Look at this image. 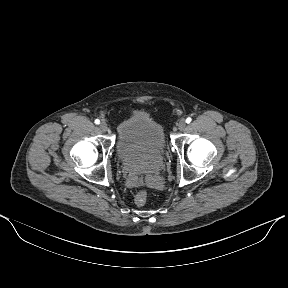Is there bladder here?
Instances as JSON below:
<instances>
[{
    "label": "bladder",
    "instance_id": "31cf9c89",
    "mask_svg": "<svg viewBox=\"0 0 288 288\" xmlns=\"http://www.w3.org/2000/svg\"><path fill=\"white\" fill-rule=\"evenodd\" d=\"M166 147L162 126L146 113H135L118 126L117 155L131 169L151 172L162 162Z\"/></svg>",
    "mask_w": 288,
    "mask_h": 288
}]
</instances>
